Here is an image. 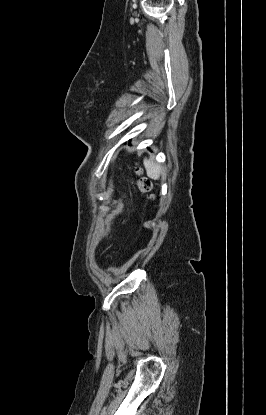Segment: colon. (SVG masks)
Listing matches in <instances>:
<instances>
[{
  "label": "colon",
  "mask_w": 266,
  "mask_h": 415,
  "mask_svg": "<svg viewBox=\"0 0 266 415\" xmlns=\"http://www.w3.org/2000/svg\"><path fill=\"white\" fill-rule=\"evenodd\" d=\"M137 173L139 174V170H137ZM136 186H137V189L139 190L140 193L149 196V193L151 191L150 181H148L147 179H144V178H140L137 181Z\"/></svg>",
  "instance_id": "obj_1"
}]
</instances>
